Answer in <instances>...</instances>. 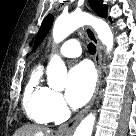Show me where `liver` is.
Returning <instances> with one entry per match:
<instances>
[{
    "label": "liver",
    "mask_w": 136,
    "mask_h": 136,
    "mask_svg": "<svg viewBox=\"0 0 136 136\" xmlns=\"http://www.w3.org/2000/svg\"><path fill=\"white\" fill-rule=\"evenodd\" d=\"M50 130L37 125H25L18 129L14 136H50Z\"/></svg>",
    "instance_id": "6515ba94"
}]
</instances>
